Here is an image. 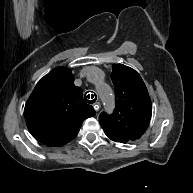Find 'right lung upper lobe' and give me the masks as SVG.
Returning <instances> with one entry per match:
<instances>
[{"label":"right lung upper lobe","instance_id":"cb5924a9","mask_svg":"<svg viewBox=\"0 0 193 193\" xmlns=\"http://www.w3.org/2000/svg\"><path fill=\"white\" fill-rule=\"evenodd\" d=\"M25 119L30 133L48 146L70 142L82 122L95 115L83 101V91L74 85L71 71L57 67L44 76L25 105Z\"/></svg>","mask_w":193,"mask_h":193}]
</instances>
